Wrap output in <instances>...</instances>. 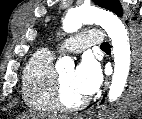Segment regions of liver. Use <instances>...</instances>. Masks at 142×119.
<instances>
[{"mask_svg": "<svg viewBox=\"0 0 142 119\" xmlns=\"http://www.w3.org/2000/svg\"><path fill=\"white\" fill-rule=\"evenodd\" d=\"M23 118L26 119H68V117L65 116H56V115H46V114H38V115H24Z\"/></svg>", "mask_w": 142, "mask_h": 119, "instance_id": "1", "label": "liver"}]
</instances>
